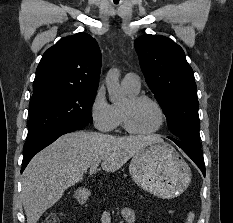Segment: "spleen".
Masks as SVG:
<instances>
[{
    "mask_svg": "<svg viewBox=\"0 0 233 223\" xmlns=\"http://www.w3.org/2000/svg\"><path fill=\"white\" fill-rule=\"evenodd\" d=\"M194 217H195V213H193V211H189L187 215V221H185V223H193Z\"/></svg>",
    "mask_w": 233,
    "mask_h": 223,
    "instance_id": "spleen-1",
    "label": "spleen"
}]
</instances>
